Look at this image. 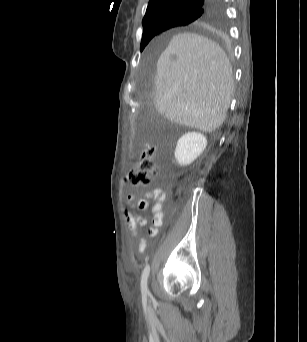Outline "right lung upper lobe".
<instances>
[{"label":"right lung upper lobe","mask_w":307,"mask_h":342,"mask_svg":"<svg viewBox=\"0 0 307 342\" xmlns=\"http://www.w3.org/2000/svg\"><path fill=\"white\" fill-rule=\"evenodd\" d=\"M221 7L222 3L218 0H150L142 24L144 29L152 26L164 12L198 9L201 15L187 25L196 31L213 34L218 31Z\"/></svg>","instance_id":"1"}]
</instances>
